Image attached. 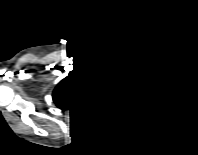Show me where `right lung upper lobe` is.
<instances>
[{
  "instance_id": "1",
  "label": "right lung upper lobe",
  "mask_w": 198,
  "mask_h": 155,
  "mask_svg": "<svg viewBox=\"0 0 198 155\" xmlns=\"http://www.w3.org/2000/svg\"><path fill=\"white\" fill-rule=\"evenodd\" d=\"M95 88L90 76L72 71L56 85L52 98L57 108L73 111L91 99Z\"/></svg>"
}]
</instances>
